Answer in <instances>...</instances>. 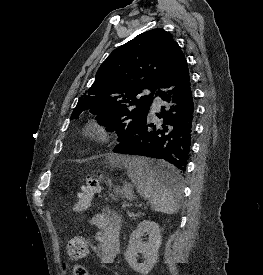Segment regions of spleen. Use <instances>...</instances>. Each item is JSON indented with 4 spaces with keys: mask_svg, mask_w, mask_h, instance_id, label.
<instances>
[{
    "mask_svg": "<svg viewBox=\"0 0 263 275\" xmlns=\"http://www.w3.org/2000/svg\"><path fill=\"white\" fill-rule=\"evenodd\" d=\"M121 164L127 168L128 177L136 186L139 194L150 201L152 210L165 214L178 212L181 184L177 183L169 188L155 179L151 174L155 164L146 158L129 157L122 160ZM157 165L168 166L163 163Z\"/></svg>",
    "mask_w": 263,
    "mask_h": 275,
    "instance_id": "spleen-1",
    "label": "spleen"
}]
</instances>
